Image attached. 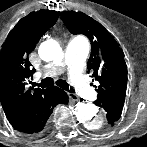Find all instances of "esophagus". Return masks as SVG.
<instances>
[{"label":"esophagus","mask_w":147,"mask_h":147,"mask_svg":"<svg viewBox=\"0 0 147 147\" xmlns=\"http://www.w3.org/2000/svg\"><path fill=\"white\" fill-rule=\"evenodd\" d=\"M68 97L72 102H77L79 100V97L74 93H68Z\"/></svg>","instance_id":"34e87169"}]
</instances>
